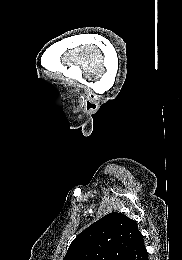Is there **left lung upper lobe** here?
Listing matches in <instances>:
<instances>
[{"instance_id":"5c2ea615","label":"left lung upper lobe","mask_w":182,"mask_h":260,"mask_svg":"<svg viewBox=\"0 0 182 260\" xmlns=\"http://www.w3.org/2000/svg\"><path fill=\"white\" fill-rule=\"evenodd\" d=\"M139 234L136 221L109 213L72 241L63 260H122Z\"/></svg>"}]
</instances>
